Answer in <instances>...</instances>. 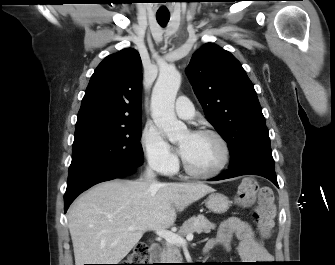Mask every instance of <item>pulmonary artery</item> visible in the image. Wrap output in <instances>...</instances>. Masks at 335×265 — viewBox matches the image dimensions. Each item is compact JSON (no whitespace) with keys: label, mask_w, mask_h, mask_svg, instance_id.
<instances>
[{"label":"pulmonary artery","mask_w":335,"mask_h":265,"mask_svg":"<svg viewBox=\"0 0 335 265\" xmlns=\"http://www.w3.org/2000/svg\"><path fill=\"white\" fill-rule=\"evenodd\" d=\"M175 112L183 119H191L194 116V107L187 97L181 96L175 103Z\"/></svg>","instance_id":"pulmonary-artery-1"}]
</instances>
